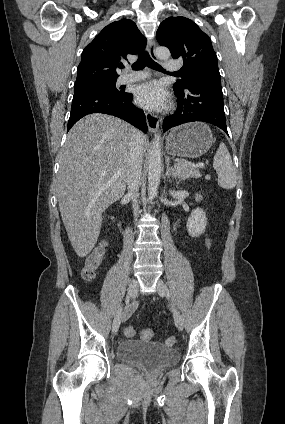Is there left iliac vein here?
I'll use <instances>...</instances> for the list:
<instances>
[{
  "label": "left iliac vein",
  "instance_id": "obj_1",
  "mask_svg": "<svg viewBox=\"0 0 285 424\" xmlns=\"http://www.w3.org/2000/svg\"><path fill=\"white\" fill-rule=\"evenodd\" d=\"M156 287H157V291H158V293L161 297H166L168 299H171L168 287L163 280L158 279V281L156 283ZM173 316H174V321H175L176 327L180 331L183 330L182 317H181L179 311L177 310V308L174 305H173Z\"/></svg>",
  "mask_w": 285,
  "mask_h": 424
}]
</instances>
